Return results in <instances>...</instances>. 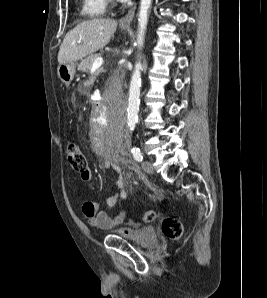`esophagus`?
Masks as SVG:
<instances>
[{
    "label": "esophagus",
    "instance_id": "1",
    "mask_svg": "<svg viewBox=\"0 0 267 298\" xmlns=\"http://www.w3.org/2000/svg\"><path fill=\"white\" fill-rule=\"evenodd\" d=\"M135 7H132L128 13L119 20L120 26H129L134 18Z\"/></svg>",
    "mask_w": 267,
    "mask_h": 298
}]
</instances>
